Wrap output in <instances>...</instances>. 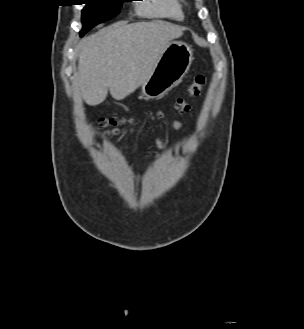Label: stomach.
<instances>
[{
    "label": "stomach",
    "instance_id": "1",
    "mask_svg": "<svg viewBox=\"0 0 304 329\" xmlns=\"http://www.w3.org/2000/svg\"><path fill=\"white\" fill-rule=\"evenodd\" d=\"M193 49L182 41H170L150 78L141 85L148 99L162 97L180 83L193 61Z\"/></svg>",
    "mask_w": 304,
    "mask_h": 329
}]
</instances>
